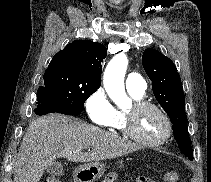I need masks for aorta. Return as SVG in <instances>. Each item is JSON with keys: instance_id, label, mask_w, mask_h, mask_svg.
<instances>
[{"instance_id": "aorta-1", "label": "aorta", "mask_w": 211, "mask_h": 182, "mask_svg": "<svg viewBox=\"0 0 211 182\" xmlns=\"http://www.w3.org/2000/svg\"><path fill=\"white\" fill-rule=\"evenodd\" d=\"M127 65V57L118 54L108 63L103 76V84L108 96L119 107L130 101L124 86Z\"/></svg>"}]
</instances>
